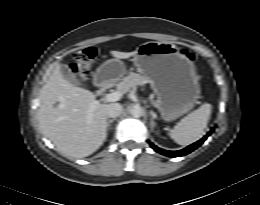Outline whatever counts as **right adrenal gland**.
<instances>
[{
  "instance_id": "1",
  "label": "right adrenal gland",
  "mask_w": 260,
  "mask_h": 205,
  "mask_svg": "<svg viewBox=\"0 0 260 205\" xmlns=\"http://www.w3.org/2000/svg\"><path fill=\"white\" fill-rule=\"evenodd\" d=\"M115 120H116V118H113V119H110V120L107 121V130H109L111 124H112L113 121H115Z\"/></svg>"
}]
</instances>
